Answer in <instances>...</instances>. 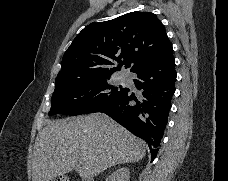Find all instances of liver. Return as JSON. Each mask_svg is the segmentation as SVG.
<instances>
[{
	"label": "liver",
	"mask_w": 228,
	"mask_h": 181,
	"mask_svg": "<svg viewBox=\"0 0 228 181\" xmlns=\"http://www.w3.org/2000/svg\"><path fill=\"white\" fill-rule=\"evenodd\" d=\"M146 145L104 113L49 121L37 135L33 151L32 181H53L82 165L77 173L91 181L106 169L138 163Z\"/></svg>",
	"instance_id": "obj_1"
}]
</instances>
